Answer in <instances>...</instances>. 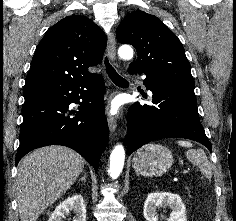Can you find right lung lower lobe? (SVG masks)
Wrapping results in <instances>:
<instances>
[{"label": "right lung lower lobe", "mask_w": 236, "mask_h": 221, "mask_svg": "<svg viewBox=\"0 0 236 221\" xmlns=\"http://www.w3.org/2000/svg\"><path fill=\"white\" fill-rule=\"evenodd\" d=\"M104 87L102 76L96 75L24 94L16 165L36 148L63 145L77 151L97 170L108 141ZM71 103L80 105L78 112L68 113Z\"/></svg>", "instance_id": "obj_1"}]
</instances>
